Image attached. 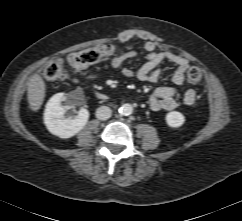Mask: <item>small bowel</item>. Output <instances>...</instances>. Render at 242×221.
I'll return each instance as SVG.
<instances>
[{
    "instance_id": "c3829d8e",
    "label": "small bowel",
    "mask_w": 242,
    "mask_h": 221,
    "mask_svg": "<svg viewBox=\"0 0 242 221\" xmlns=\"http://www.w3.org/2000/svg\"><path fill=\"white\" fill-rule=\"evenodd\" d=\"M120 41L126 42L130 40H145L144 50L146 51V60L138 68L124 67L121 73L124 77L134 78L139 81L154 83L158 80L160 71L157 66L167 61L176 66V70L172 75V81L176 86L184 83L185 72L189 67L186 58L177 55L171 51H157L156 44L151 40L150 36L140 31H126L121 34ZM136 53L132 51L124 52L110 60V67L118 69L122 64L135 57ZM98 76L96 72H87L82 78L87 80L95 79ZM72 82L78 83L81 78L78 76L71 77ZM177 89L171 86L157 88L149 99V106L153 111H171L178 106ZM196 100V92L193 89H187L181 97V102L185 106H191Z\"/></svg>"
}]
</instances>
